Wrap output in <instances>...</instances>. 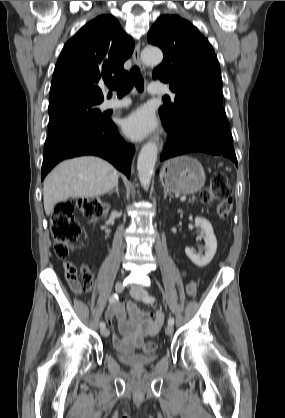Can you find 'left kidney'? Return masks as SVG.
<instances>
[{
    "label": "left kidney",
    "mask_w": 285,
    "mask_h": 418,
    "mask_svg": "<svg viewBox=\"0 0 285 418\" xmlns=\"http://www.w3.org/2000/svg\"><path fill=\"white\" fill-rule=\"evenodd\" d=\"M195 225L196 227L201 228V232L204 235L205 254L201 255L195 253L193 249L189 247L185 248V253L195 265L199 267H204L211 262L216 253L217 239L214 235L213 227L207 219L202 217H196Z\"/></svg>",
    "instance_id": "1"
}]
</instances>
